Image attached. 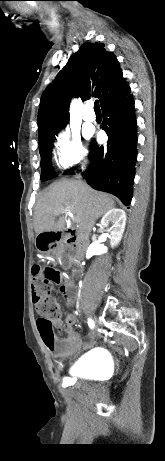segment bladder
<instances>
[{"instance_id": "bladder-1", "label": "bladder", "mask_w": 165, "mask_h": 461, "mask_svg": "<svg viewBox=\"0 0 165 461\" xmlns=\"http://www.w3.org/2000/svg\"><path fill=\"white\" fill-rule=\"evenodd\" d=\"M105 353L81 357L71 368V374L79 378L100 376L106 368Z\"/></svg>"}]
</instances>
